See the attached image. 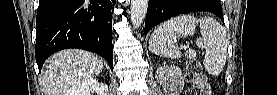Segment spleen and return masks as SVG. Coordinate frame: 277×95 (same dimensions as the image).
I'll use <instances>...</instances> for the list:
<instances>
[{
  "mask_svg": "<svg viewBox=\"0 0 277 95\" xmlns=\"http://www.w3.org/2000/svg\"><path fill=\"white\" fill-rule=\"evenodd\" d=\"M198 24L201 37L196 44L205 49L204 68L210 75L220 74L226 63L228 39L224 27L211 17L198 19L188 14L163 22L152 33L149 50L160 57L180 58L182 54L174 43L179 38L193 35Z\"/></svg>",
  "mask_w": 277,
  "mask_h": 95,
  "instance_id": "obj_1",
  "label": "spleen"
}]
</instances>
